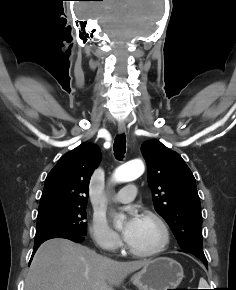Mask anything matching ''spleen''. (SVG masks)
<instances>
[{"label":"spleen","instance_id":"obj_1","mask_svg":"<svg viewBox=\"0 0 236 290\" xmlns=\"http://www.w3.org/2000/svg\"><path fill=\"white\" fill-rule=\"evenodd\" d=\"M207 286V282L205 281V279L201 278L199 281V287H206ZM201 289H205V288H201Z\"/></svg>","mask_w":236,"mask_h":290}]
</instances>
